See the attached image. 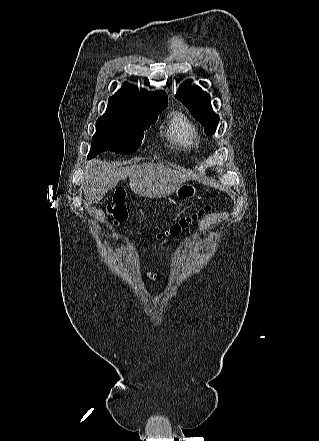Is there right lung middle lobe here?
Returning a JSON list of instances; mask_svg holds the SVG:
<instances>
[{
    "mask_svg": "<svg viewBox=\"0 0 319 441\" xmlns=\"http://www.w3.org/2000/svg\"><path fill=\"white\" fill-rule=\"evenodd\" d=\"M166 105L151 109L107 110L96 122L88 158L104 151L132 154L140 146L143 132L154 124Z\"/></svg>",
    "mask_w": 319,
    "mask_h": 441,
    "instance_id": "dd1d6c3e",
    "label": "right lung middle lobe"
}]
</instances>
